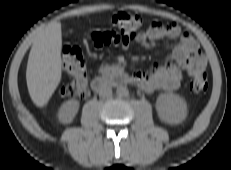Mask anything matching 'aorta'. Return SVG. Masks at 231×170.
I'll return each instance as SVG.
<instances>
[{"mask_svg": "<svg viewBox=\"0 0 231 170\" xmlns=\"http://www.w3.org/2000/svg\"><path fill=\"white\" fill-rule=\"evenodd\" d=\"M118 96L124 97L129 95V90L126 86H119L116 90Z\"/></svg>", "mask_w": 231, "mask_h": 170, "instance_id": "762f6f07", "label": "aorta"}]
</instances>
